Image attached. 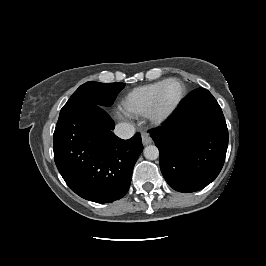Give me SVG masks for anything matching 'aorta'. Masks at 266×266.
Segmentation results:
<instances>
[{
	"label": "aorta",
	"instance_id": "obj_1",
	"mask_svg": "<svg viewBox=\"0 0 266 266\" xmlns=\"http://www.w3.org/2000/svg\"><path fill=\"white\" fill-rule=\"evenodd\" d=\"M144 157L148 160H156L159 157V150L154 145H149L143 150Z\"/></svg>",
	"mask_w": 266,
	"mask_h": 266
}]
</instances>
